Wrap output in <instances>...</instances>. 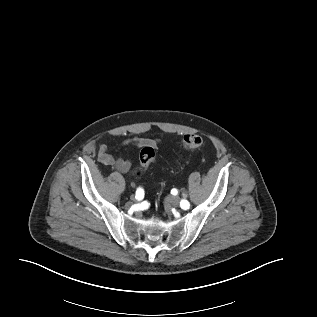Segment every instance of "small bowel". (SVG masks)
I'll return each instance as SVG.
<instances>
[{"label":"small bowel","instance_id":"1","mask_svg":"<svg viewBox=\"0 0 317 317\" xmlns=\"http://www.w3.org/2000/svg\"><path fill=\"white\" fill-rule=\"evenodd\" d=\"M156 145L157 142L142 137H131L121 141L120 145L129 147H142L145 145ZM98 161L104 166H110L123 174H131L134 172L132 163L129 159L114 157L108 150L106 145H101L98 150Z\"/></svg>","mask_w":317,"mask_h":317}]
</instances>
